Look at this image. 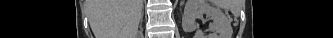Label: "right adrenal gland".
I'll return each mask as SVG.
<instances>
[{
    "label": "right adrenal gland",
    "instance_id": "2a0ac1e0",
    "mask_svg": "<svg viewBox=\"0 0 333 38\" xmlns=\"http://www.w3.org/2000/svg\"><path fill=\"white\" fill-rule=\"evenodd\" d=\"M143 15H144V11H142V14H141V17H140V27H141V24H142Z\"/></svg>",
    "mask_w": 333,
    "mask_h": 38
}]
</instances>
